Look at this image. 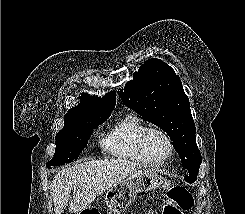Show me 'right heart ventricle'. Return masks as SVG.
I'll return each instance as SVG.
<instances>
[{
	"label": "right heart ventricle",
	"mask_w": 245,
	"mask_h": 214,
	"mask_svg": "<svg viewBox=\"0 0 245 214\" xmlns=\"http://www.w3.org/2000/svg\"><path fill=\"white\" fill-rule=\"evenodd\" d=\"M147 128L148 125L137 114L125 115L103 138L102 145L105 152L121 160L148 165L138 147L139 137Z\"/></svg>",
	"instance_id": "1"
}]
</instances>
